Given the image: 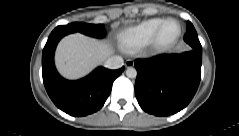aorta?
Listing matches in <instances>:
<instances>
[{
	"mask_svg": "<svg viewBox=\"0 0 239 136\" xmlns=\"http://www.w3.org/2000/svg\"><path fill=\"white\" fill-rule=\"evenodd\" d=\"M126 75L127 77L129 78H136L137 76V71L135 68L133 67H128L127 70H126Z\"/></svg>",
	"mask_w": 239,
	"mask_h": 136,
	"instance_id": "762f6f07",
	"label": "aorta"
}]
</instances>
